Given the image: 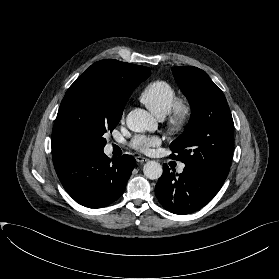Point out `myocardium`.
Returning <instances> with one entry per match:
<instances>
[{"instance_id":"1","label":"myocardium","mask_w":279,"mask_h":279,"mask_svg":"<svg viewBox=\"0 0 279 279\" xmlns=\"http://www.w3.org/2000/svg\"><path fill=\"white\" fill-rule=\"evenodd\" d=\"M194 114L193 104L185 98H176L167 114L166 123L173 133H180L190 124Z\"/></svg>"}]
</instances>
